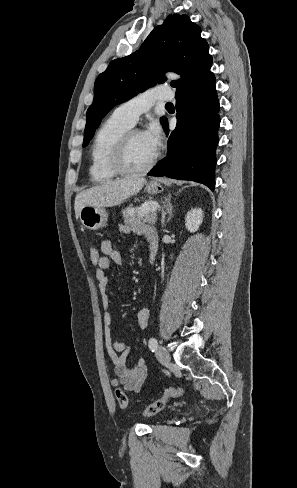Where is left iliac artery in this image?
Wrapping results in <instances>:
<instances>
[{
  "mask_svg": "<svg viewBox=\"0 0 297 488\" xmlns=\"http://www.w3.org/2000/svg\"><path fill=\"white\" fill-rule=\"evenodd\" d=\"M148 346L152 352H154L158 346L156 338H150Z\"/></svg>",
  "mask_w": 297,
  "mask_h": 488,
  "instance_id": "44dca946",
  "label": "left iliac artery"
}]
</instances>
